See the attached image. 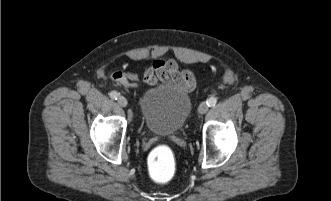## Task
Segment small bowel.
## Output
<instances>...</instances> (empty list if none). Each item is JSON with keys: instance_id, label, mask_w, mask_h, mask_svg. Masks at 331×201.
<instances>
[{"instance_id": "1", "label": "small bowel", "mask_w": 331, "mask_h": 201, "mask_svg": "<svg viewBox=\"0 0 331 201\" xmlns=\"http://www.w3.org/2000/svg\"><path fill=\"white\" fill-rule=\"evenodd\" d=\"M111 78L128 89H134L139 80V75L132 71L125 73L114 72L111 74ZM143 78L150 86H156L162 83H173L188 91L193 90L196 84L191 71L181 70L178 63L173 59H155L151 65L144 70Z\"/></svg>"}]
</instances>
